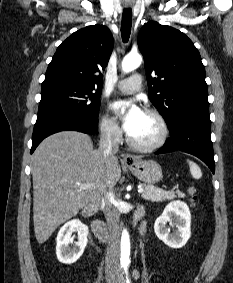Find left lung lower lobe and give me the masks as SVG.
Here are the masks:
<instances>
[{
    "instance_id": "0a47b994",
    "label": "left lung lower lobe",
    "mask_w": 233,
    "mask_h": 283,
    "mask_svg": "<svg viewBox=\"0 0 233 283\" xmlns=\"http://www.w3.org/2000/svg\"><path fill=\"white\" fill-rule=\"evenodd\" d=\"M168 127L171 137L156 154L177 150L190 153L204 161L211 171L215 172L209 113L188 114Z\"/></svg>"
}]
</instances>
